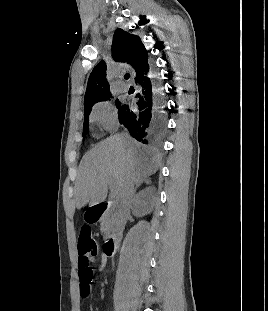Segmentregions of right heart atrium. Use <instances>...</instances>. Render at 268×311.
<instances>
[{
    "label": "right heart atrium",
    "mask_w": 268,
    "mask_h": 311,
    "mask_svg": "<svg viewBox=\"0 0 268 311\" xmlns=\"http://www.w3.org/2000/svg\"><path fill=\"white\" fill-rule=\"evenodd\" d=\"M92 120L104 131L111 132L117 125L116 113L109 102L98 103L92 113Z\"/></svg>",
    "instance_id": "right-heart-atrium-1"
}]
</instances>
